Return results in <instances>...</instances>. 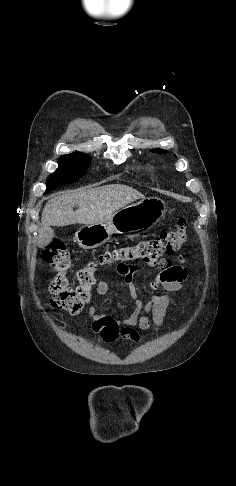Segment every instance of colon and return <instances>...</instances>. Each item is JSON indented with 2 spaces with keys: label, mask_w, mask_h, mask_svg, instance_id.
<instances>
[{
  "label": "colon",
  "mask_w": 236,
  "mask_h": 486,
  "mask_svg": "<svg viewBox=\"0 0 236 486\" xmlns=\"http://www.w3.org/2000/svg\"><path fill=\"white\" fill-rule=\"evenodd\" d=\"M186 221L180 219L173 231H163L159 235L142 239L135 244L116 248L103 253L97 260L88 262L76 274L77 286L70 285L66 272L70 267V252L65 244L55 239L43 252V260L53 272L49 290L51 303L57 309L71 314L80 312L90 301L91 290L95 284V273L99 266L112 262L127 265V262L144 260L149 262L171 255L187 241Z\"/></svg>",
  "instance_id": "1"
}]
</instances>
